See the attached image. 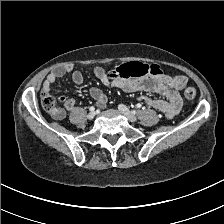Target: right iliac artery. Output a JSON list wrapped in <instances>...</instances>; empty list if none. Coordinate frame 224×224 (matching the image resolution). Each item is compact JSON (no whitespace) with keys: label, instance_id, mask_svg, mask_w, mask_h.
<instances>
[{"label":"right iliac artery","instance_id":"82829eb1","mask_svg":"<svg viewBox=\"0 0 224 224\" xmlns=\"http://www.w3.org/2000/svg\"><path fill=\"white\" fill-rule=\"evenodd\" d=\"M95 110V107L94 106H91L90 108H89V111H94Z\"/></svg>","mask_w":224,"mask_h":224}]
</instances>
